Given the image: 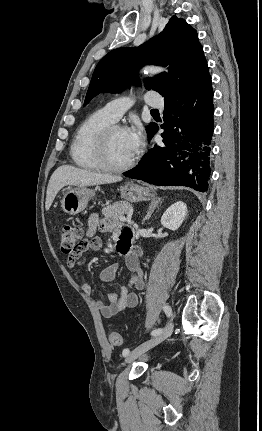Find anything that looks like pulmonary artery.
Wrapping results in <instances>:
<instances>
[{
  "label": "pulmonary artery",
  "mask_w": 262,
  "mask_h": 431,
  "mask_svg": "<svg viewBox=\"0 0 262 431\" xmlns=\"http://www.w3.org/2000/svg\"><path fill=\"white\" fill-rule=\"evenodd\" d=\"M143 100L146 104L162 108L164 101L161 96L155 92H147L143 96ZM134 103V99L131 97H119L109 101L105 106V112L111 117L112 120L117 121Z\"/></svg>",
  "instance_id": "1"
}]
</instances>
